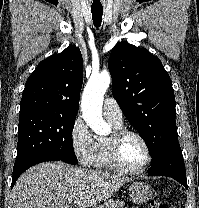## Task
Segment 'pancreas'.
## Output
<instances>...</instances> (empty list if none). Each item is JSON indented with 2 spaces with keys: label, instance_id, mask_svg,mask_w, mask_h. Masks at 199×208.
<instances>
[{
  "label": "pancreas",
  "instance_id": "cf45deb5",
  "mask_svg": "<svg viewBox=\"0 0 199 208\" xmlns=\"http://www.w3.org/2000/svg\"><path fill=\"white\" fill-rule=\"evenodd\" d=\"M124 206H125V203L123 201L109 200L95 208H125Z\"/></svg>",
  "mask_w": 199,
  "mask_h": 208
}]
</instances>
